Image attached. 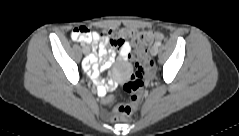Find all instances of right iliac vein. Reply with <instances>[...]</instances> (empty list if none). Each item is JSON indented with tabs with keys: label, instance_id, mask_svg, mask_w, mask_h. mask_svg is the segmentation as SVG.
Returning <instances> with one entry per match:
<instances>
[{
	"label": "right iliac vein",
	"instance_id": "1",
	"mask_svg": "<svg viewBox=\"0 0 239 136\" xmlns=\"http://www.w3.org/2000/svg\"><path fill=\"white\" fill-rule=\"evenodd\" d=\"M83 53L88 55L90 53V48L88 46L83 47Z\"/></svg>",
	"mask_w": 239,
	"mask_h": 136
}]
</instances>
